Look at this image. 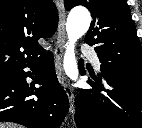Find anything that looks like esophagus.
<instances>
[{"instance_id": "esophagus-1", "label": "esophagus", "mask_w": 142, "mask_h": 128, "mask_svg": "<svg viewBox=\"0 0 142 128\" xmlns=\"http://www.w3.org/2000/svg\"><path fill=\"white\" fill-rule=\"evenodd\" d=\"M56 5L59 12V30H58L57 40L54 46L56 73L68 97L69 105H70L69 112L73 114L75 112L74 93H73V89L66 82L63 75V69H62V56H63L64 45L66 40V29H65L66 12L64 8L63 0H56Z\"/></svg>"}]
</instances>
